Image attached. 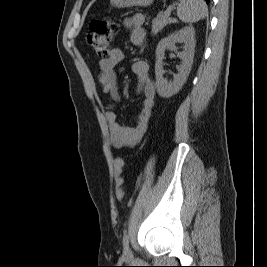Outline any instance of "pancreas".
<instances>
[{"label": "pancreas", "instance_id": "cf45deb5", "mask_svg": "<svg viewBox=\"0 0 267 267\" xmlns=\"http://www.w3.org/2000/svg\"><path fill=\"white\" fill-rule=\"evenodd\" d=\"M172 23H177V20L175 18L166 17L165 15L154 18L152 20V34H158L165 26Z\"/></svg>", "mask_w": 267, "mask_h": 267}]
</instances>
